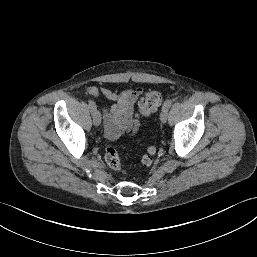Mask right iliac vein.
<instances>
[{"label": "right iliac vein", "mask_w": 257, "mask_h": 257, "mask_svg": "<svg viewBox=\"0 0 257 257\" xmlns=\"http://www.w3.org/2000/svg\"><path fill=\"white\" fill-rule=\"evenodd\" d=\"M93 123L95 126H99L101 124V114L97 110L93 113Z\"/></svg>", "instance_id": "right-iliac-vein-1"}]
</instances>
